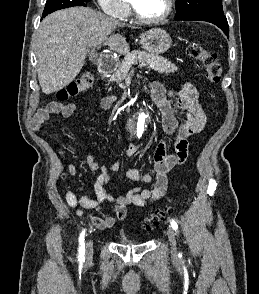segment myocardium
Masks as SVG:
<instances>
[{
	"mask_svg": "<svg viewBox=\"0 0 259 294\" xmlns=\"http://www.w3.org/2000/svg\"><path fill=\"white\" fill-rule=\"evenodd\" d=\"M165 2H166V8H165V11L163 12V14H161L160 16H157V17H152V18H148V17L141 15L131 2H130V8H131V11H132L134 18L138 22L143 23V24H157V23L163 22L166 19H168L173 12V7H174L173 0H165Z\"/></svg>",
	"mask_w": 259,
	"mask_h": 294,
	"instance_id": "1",
	"label": "myocardium"
}]
</instances>
